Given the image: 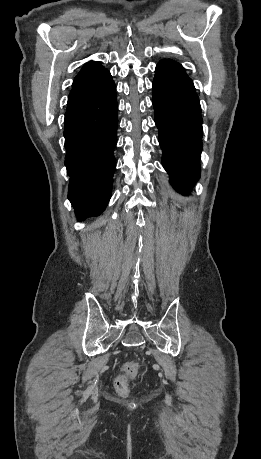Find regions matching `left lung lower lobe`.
Listing matches in <instances>:
<instances>
[{
	"label": "left lung lower lobe",
	"mask_w": 261,
	"mask_h": 459,
	"mask_svg": "<svg viewBox=\"0 0 261 459\" xmlns=\"http://www.w3.org/2000/svg\"><path fill=\"white\" fill-rule=\"evenodd\" d=\"M152 103L163 152L162 165L174 188L187 194L200 177L203 130L199 98L179 63H158Z\"/></svg>",
	"instance_id": "1"
}]
</instances>
